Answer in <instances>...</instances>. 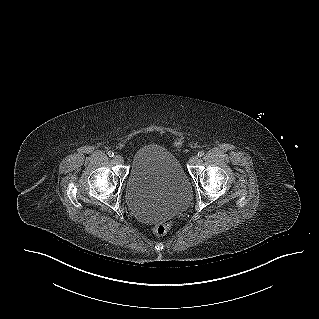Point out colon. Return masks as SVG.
<instances>
[{
	"label": "colon",
	"instance_id": "5ec220e1",
	"mask_svg": "<svg viewBox=\"0 0 319 319\" xmlns=\"http://www.w3.org/2000/svg\"><path fill=\"white\" fill-rule=\"evenodd\" d=\"M173 145L174 147L179 148L181 146V143L176 140L174 141ZM172 224H173L172 220L158 223L152 227V233L157 236L164 235L170 230V228L172 227Z\"/></svg>",
	"mask_w": 319,
	"mask_h": 319
}]
</instances>
